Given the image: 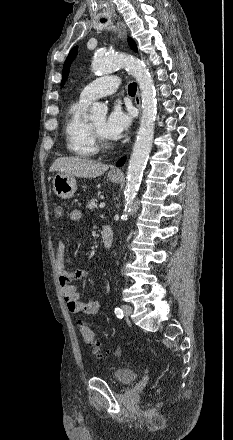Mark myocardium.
<instances>
[{
	"label": "myocardium",
	"mask_w": 233,
	"mask_h": 440,
	"mask_svg": "<svg viewBox=\"0 0 233 440\" xmlns=\"http://www.w3.org/2000/svg\"><path fill=\"white\" fill-rule=\"evenodd\" d=\"M89 130L98 149H109L112 147L111 140L102 135L91 122H89Z\"/></svg>",
	"instance_id": "1"
}]
</instances>
